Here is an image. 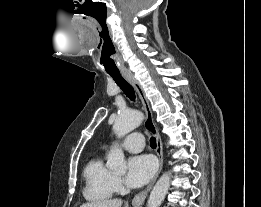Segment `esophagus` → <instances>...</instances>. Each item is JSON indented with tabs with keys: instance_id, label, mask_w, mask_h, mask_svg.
<instances>
[{
	"instance_id": "obj_1",
	"label": "esophagus",
	"mask_w": 261,
	"mask_h": 207,
	"mask_svg": "<svg viewBox=\"0 0 261 207\" xmlns=\"http://www.w3.org/2000/svg\"><path fill=\"white\" fill-rule=\"evenodd\" d=\"M124 77L133 86V88L136 90V92L138 93V95L140 97V100L143 105V109L145 111V116H146L145 117V126H146V129L156 138V142H157L156 153L159 158V169H158V172L156 173L155 177L153 178V180L150 182V184L148 185V187L145 190L136 194L134 196V198L132 199V204L134 206H139V205L143 204L146 196L148 195V192L151 190L152 186L154 185V183L156 182V179L158 178V176L160 174V171L162 170L163 147H162L161 137H160L157 127L154 123L153 114H152V110L150 108L149 101L145 95V92H144L142 86L129 74H124Z\"/></svg>"
}]
</instances>
